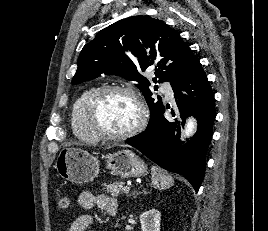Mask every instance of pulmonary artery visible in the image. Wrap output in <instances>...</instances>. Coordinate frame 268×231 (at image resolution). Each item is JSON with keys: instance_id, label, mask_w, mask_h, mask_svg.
<instances>
[{"instance_id": "1", "label": "pulmonary artery", "mask_w": 268, "mask_h": 231, "mask_svg": "<svg viewBox=\"0 0 268 231\" xmlns=\"http://www.w3.org/2000/svg\"><path fill=\"white\" fill-rule=\"evenodd\" d=\"M161 90L165 94L168 100L174 99V92H173L172 87L169 84H162Z\"/></svg>"}]
</instances>
